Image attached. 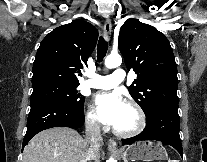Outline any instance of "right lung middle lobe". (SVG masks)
<instances>
[{
    "mask_svg": "<svg viewBox=\"0 0 207 162\" xmlns=\"http://www.w3.org/2000/svg\"><path fill=\"white\" fill-rule=\"evenodd\" d=\"M76 85L46 84L33 87L31 102L40 100H56L72 108H83L84 97L77 92Z\"/></svg>",
    "mask_w": 207,
    "mask_h": 162,
    "instance_id": "1",
    "label": "right lung middle lobe"
}]
</instances>
